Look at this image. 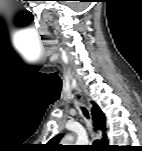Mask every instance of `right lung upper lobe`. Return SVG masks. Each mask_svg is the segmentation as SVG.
I'll return each mask as SVG.
<instances>
[{
	"label": "right lung upper lobe",
	"mask_w": 142,
	"mask_h": 151,
	"mask_svg": "<svg viewBox=\"0 0 142 151\" xmlns=\"http://www.w3.org/2000/svg\"><path fill=\"white\" fill-rule=\"evenodd\" d=\"M93 103V108H92V119H93V125L95 127V130H100L103 133L106 131L105 127V116L94 102ZM104 137H106V134H103ZM62 137V134H59L55 136L53 139L49 141V147L52 149H58L60 146L58 145V142L60 141ZM101 143L106 144L107 140L104 138Z\"/></svg>",
	"instance_id": "cb5924a9"
}]
</instances>
